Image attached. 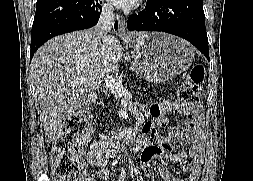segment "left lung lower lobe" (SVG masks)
I'll return each mask as SVG.
<instances>
[{
  "mask_svg": "<svg viewBox=\"0 0 253 181\" xmlns=\"http://www.w3.org/2000/svg\"><path fill=\"white\" fill-rule=\"evenodd\" d=\"M130 31H160L192 43L208 60V38L203 0H151L145 9L128 18Z\"/></svg>",
  "mask_w": 253,
  "mask_h": 181,
  "instance_id": "left-lung-lower-lobe-1",
  "label": "left lung lower lobe"
}]
</instances>
